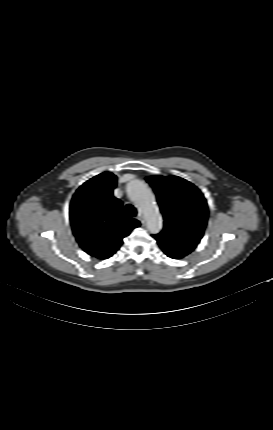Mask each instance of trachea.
<instances>
[{
	"instance_id": "trachea-1",
	"label": "trachea",
	"mask_w": 273,
	"mask_h": 430,
	"mask_svg": "<svg viewBox=\"0 0 273 430\" xmlns=\"http://www.w3.org/2000/svg\"><path fill=\"white\" fill-rule=\"evenodd\" d=\"M136 215H137L136 208L133 205H131V204L126 205V207H125V216L127 218H131V217H135Z\"/></svg>"
}]
</instances>
